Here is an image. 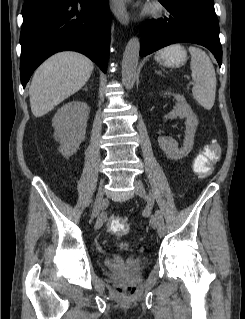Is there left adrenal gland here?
<instances>
[{
  "instance_id": "left-adrenal-gland-1",
  "label": "left adrenal gland",
  "mask_w": 245,
  "mask_h": 319,
  "mask_svg": "<svg viewBox=\"0 0 245 319\" xmlns=\"http://www.w3.org/2000/svg\"><path fill=\"white\" fill-rule=\"evenodd\" d=\"M157 74L163 75L161 71H156Z\"/></svg>"
}]
</instances>
